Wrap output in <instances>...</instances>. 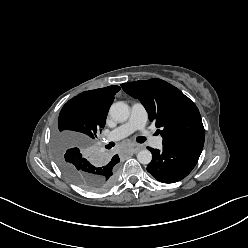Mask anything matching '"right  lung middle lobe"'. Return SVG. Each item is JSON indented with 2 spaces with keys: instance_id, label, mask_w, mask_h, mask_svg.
<instances>
[{
  "instance_id": "dd1d6c3e",
  "label": "right lung middle lobe",
  "mask_w": 248,
  "mask_h": 248,
  "mask_svg": "<svg viewBox=\"0 0 248 248\" xmlns=\"http://www.w3.org/2000/svg\"><path fill=\"white\" fill-rule=\"evenodd\" d=\"M106 117L98 116L85 107L81 98L74 97L62 108L55 130V150L62 171L77 185L88 191L106 189L114 180L117 163L92 152L91 144L105 126ZM68 145H78L65 153Z\"/></svg>"
}]
</instances>
